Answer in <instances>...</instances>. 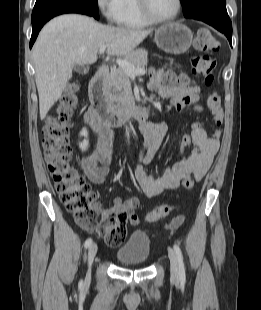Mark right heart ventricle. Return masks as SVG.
<instances>
[{"label":"right heart ventricle","mask_w":261,"mask_h":310,"mask_svg":"<svg viewBox=\"0 0 261 310\" xmlns=\"http://www.w3.org/2000/svg\"><path fill=\"white\" fill-rule=\"evenodd\" d=\"M117 24L129 29H141L151 25L141 15L137 0H121V10Z\"/></svg>","instance_id":"right-heart-ventricle-1"}]
</instances>
